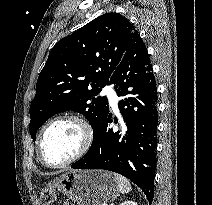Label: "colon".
Returning a JSON list of instances; mask_svg holds the SVG:
<instances>
[{
	"instance_id": "colon-1",
	"label": "colon",
	"mask_w": 212,
	"mask_h": 205,
	"mask_svg": "<svg viewBox=\"0 0 212 205\" xmlns=\"http://www.w3.org/2000/svg\"><path fill=\"white\" fill-rule=\"evenodd\" d=\"M56 190L53 185H45L40 193V201L42 205H51L56 200Z\"/></svg>"
}]
</instances>
